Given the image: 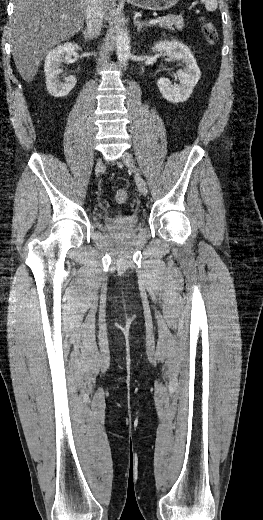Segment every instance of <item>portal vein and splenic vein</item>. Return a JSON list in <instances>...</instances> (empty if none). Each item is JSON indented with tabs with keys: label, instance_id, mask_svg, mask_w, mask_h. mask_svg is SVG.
<instances>
[{
	"label": "portal vein and splenic vein",
	"instance_id": "18ae733b",
	"mask_svg": "<svg viewBox=\"0 0 263 520\" xmlns=\"http://www.w3.org/2000/svg\"><path fill=\"white\" fill-rule=\"evenodd\" d=\"M62 18H67V17H66V16H62ZM158 22H159V19H158V18H157V19H151V20L149 21L150 24H157Z\"/></svg>",
	"mask_w": 263,
	"mask_h": 520
}]
</instances>
